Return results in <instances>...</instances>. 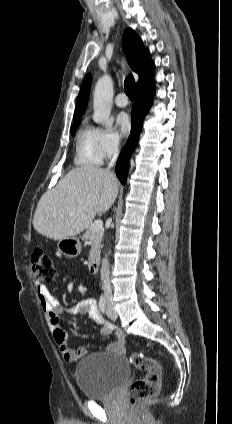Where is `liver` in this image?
<instances>
[{
    "label": "liver",
    "instance_id": "obj_1",
    "mask_svg": "<svg viewBox=\"0 0 232 424\" xmlns=\"http://www.w3.org/2000/svg\"><path fill=\"white\" fill-rule=\"evenodd\" d=\"M118 195V181L103 168L70 170L38 202L35 230L54 240L75 236L89 227L98 213L107 212Z\"/></svg>",
    "mask_w": 232,
    "mask_h": 424
}]
</instances>
